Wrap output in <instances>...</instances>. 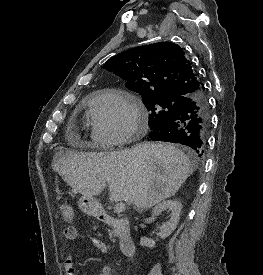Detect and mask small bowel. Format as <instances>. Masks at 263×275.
<instances>
[{
    "mask_svg": "<svg viewBox=\"0 0 263 275\" xmlns=\"http://www.w3.org/2000/svg\"><path fill=\"white\" fill-rule=\"evenodd\" d=\"M65 237L69 240H74L78 237V231L75 227L69 226L65 229ZM91 244L100 250L102 253H108V246L100 239L95 237H90ZM88 260H91L89 258ZM64 270L66 275H77L76 268L74 265V260L72 254H69L64 260ZM98 275H111V267L105 265L102 267L101 272Z\"/></svg>",
    "mask_w": 263,
    "mask_h": 275,
    "instance_id": "c3829d8e",
    "label": "small bowel"
}]
</instances>
